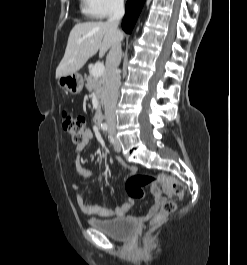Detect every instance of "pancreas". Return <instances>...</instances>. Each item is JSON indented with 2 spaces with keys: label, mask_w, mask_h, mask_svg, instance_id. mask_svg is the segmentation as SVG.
<instances>
[{
  "label": "pancreas",
  "mask_w": 247,
  "mask_h": 265,
  "mask_svg": "<svg viewBox=\"0 0 247 265\" xmlns=\"http://www.w3.org/2000/svg\"><path fill=\"white\" fill-rule=\"evenodd\" d=\"M91 70H89V76L87 78V83L85 85L86 89L90 91H95L97 98L100 100V104L103 102L104 95H105V86H106V81H105V76H99V77H94L91 74Z\"/></svg>",
  "instance_id": "1"
}]
</instances>
